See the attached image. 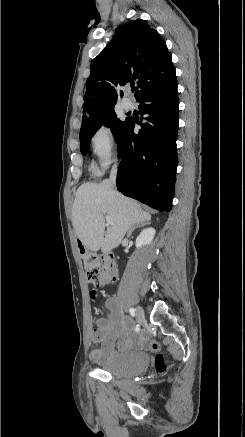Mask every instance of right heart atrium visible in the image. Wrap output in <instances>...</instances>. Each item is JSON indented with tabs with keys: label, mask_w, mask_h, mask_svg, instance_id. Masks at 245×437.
I'll return each instance as SVG.
<instances>
[{
	"label": "right heart atrium",
	"mask_w": 245,
	"mask_h": 437,
	"mask_svg": "<svg viewBox=\"0 0 245 437\" xmlns=\"http://www.w3.org/2000/svg\"><path fill=\"white\" fill-rule=\"evenodd\" d=\"M90 147L97 173L106 170L116 159L117 142L112 129L102 124L92 133Z\"/></svg>",
	"instance_id": "obj_1"
}]
</instances>
